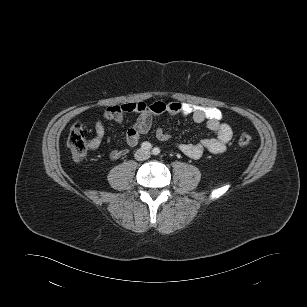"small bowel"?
I'll return each mask as SVG.
<instances>
[{
	"instance_id": "c3829d8e",
	"label": "small bowel",
	"mask_w": 307,
	"mask_h": 307,
	"mask_svg": "<svg viewBox=\"0 0 307 307\" xmlns=\"http://www.w3.org/2000/svg\"><path fill=\"white\" fill-rule=\"evenodd\" d=\"M128 113L138 115L136 123L126 133V145L128 148L135 147L143 134L148 133L153 125L156 116L163 114L170 116L191 117L196 123H205L207 128L215 134V137L206 138L198 143H185L173 139L162 128L156 130V136L160 141L171 142L178 150L192 159H199L205 151L213 154H220L226 151L228 143L232 138V129L229 124L221 121L222 112L216 107H203L180 102H131L120 106L109 107L105 112L108 120L121 122ZM95 135L90 140V147L97 148L105 135V127L101 121L94 126ZM127 148L111 151L110 158L119 159L126 155Z\"/></svg>"
}]
</instances>
